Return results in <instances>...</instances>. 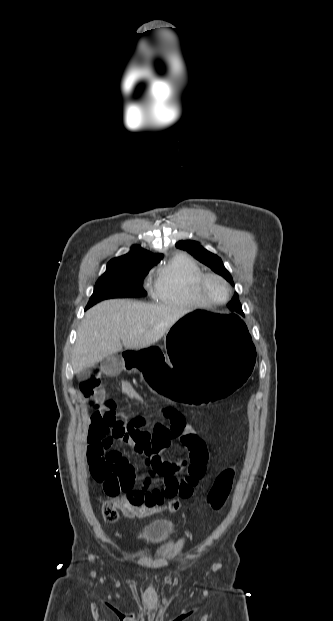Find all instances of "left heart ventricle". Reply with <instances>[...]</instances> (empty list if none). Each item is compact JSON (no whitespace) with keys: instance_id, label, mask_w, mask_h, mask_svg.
I'll list each match as a JSON object with an SVG mask.
<instances>
[{"instance_id":"left-heart-ventricle-1","label":"left heart ventricle","mask_w":333,"mask_h":621,"mask_svg":"<svg viewBox=\"0 0 333 621\" xmlns=\"http://www.w3.org/2000/svg\"><path fill=\"white\" fill-rule=\"evenodd\" d=\"M205 291L214 300H222L226 294L223 283L216 279H209L206 282Z\"/></svg>"}]
</instances>
